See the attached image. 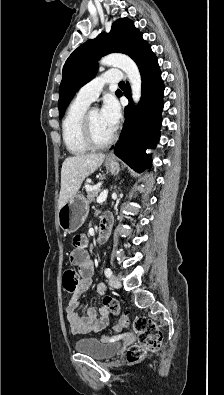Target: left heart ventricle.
<instances>
[{"label":"left heart ventricle","mask_w":224,"mask_h":395,"mask_svg":"<svg viewBox=\"0 0 224 395\" xmlns=\"http://www.w3.org/2000/svg\"><path fill=\"white\" fill-rule=\"evenodd\" d=\"M90 121H91L93 135L97 141L104 142L108 140L114 133V131L111 130L109 126L105 123V121L102 119L99 110L97 109L92 110L90 114Z\"/></svg>","instance_id":"1"}]
</instances>
